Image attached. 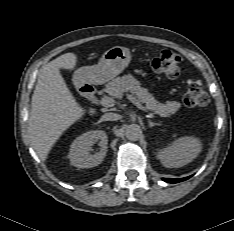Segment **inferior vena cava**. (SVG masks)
Instances as JSON below:
<instances>
[{"label": "inferior vena cava", "mask_w": 234, "mask_h": 231, "mask_svg": "<svg viewBox=\"0 0 234 231\" xmlns=\"http://www.w3.org/2000/svg\"><path fill=\"white\" fill-rule=\"evenodd\" d=\"M102 118L106 121H117L121 116L117 113H105Z\"/></svg>", "instance_id": "inferior-vena-cava-1"}]
</instances>
